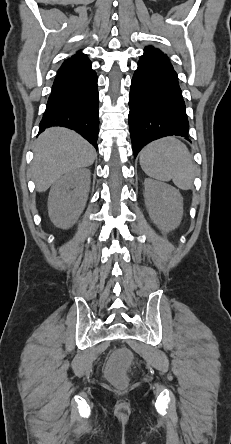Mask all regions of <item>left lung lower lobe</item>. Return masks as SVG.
<instances>
[{
    "label": "left lung lower lobe",
    "instance_id": "left-lung-lower-lobe-1",
    "mask_svg": "<svg viewBox=\"0 0 231 444\" xmlns=\"http://www.w3.org/2000/svg\"><path fill=\"white\" fill-rule=\"evenodd\" d=\"M129 108L135 157L144 145L164 136L177 135L189 140L178 77L167 55L160 50L144 49L132 79Z\"/></svg>",
    "mask_w": 231,
    "mask_h": 444
}]
</instances>
